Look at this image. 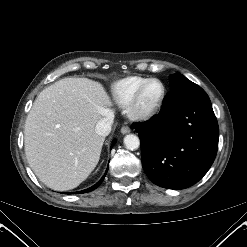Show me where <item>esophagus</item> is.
<instances>
[{
	"instance_id": "obj_1",
	"label": "esophagus",
	"mask_w": 247,
	"mask_h": 247,
	"mask_svg": "<svg viewBox=\"0 0 247 247\" xmlns=\"http://www.w3.org/2000/svg\"><path fill=\"white\" fill-rule=\"evenodd\" d=\"M131 130H130V128L128 127V126H123L122 128H121V133L122 134H127V133H129Z\"/></svg>"
}]
</instances>
